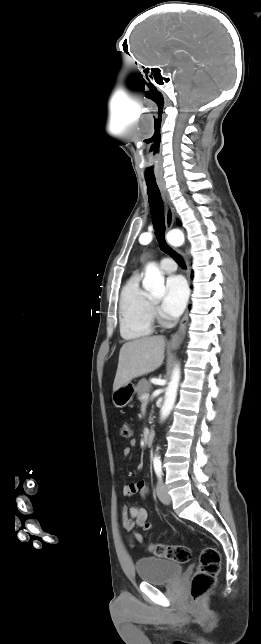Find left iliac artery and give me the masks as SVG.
<instances>
[{
    "mask_svg": "<svg viewBox=\"0 0 261 644\" xmlns=\"http://www.w3.org/2000/svg\"><path fill=\"white\" fill-rule=\"evenodd\" d=\"M153 465H154V470H155L156 475L161 478V476H162L161 460L159 458H154Z\"/></svg>",
    "mask_w": 261,
    "mask_h": 644,
    "instance_id": "44dca946",
    "label": "left iliac artery"
}]
</instances>
